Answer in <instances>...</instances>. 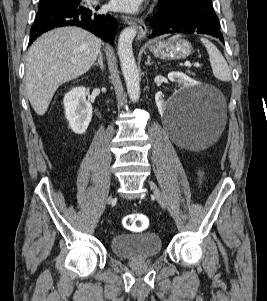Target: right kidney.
<instances>
[{"label":"right kidney","mask_w":267,"mask_h":301,"mask_svg":"<svg viewBox=\"0 0 267 301\" xmlns=\"http://www.w3.org/2000/svg\"><path fill=\"white\" fill-rule=\"evenodd\" d=\"M63 103L65 116L72 131L76 134L85 133L92 118V105L86 99V89L72 88L65 94Z\"/></svg>","instance_id":"ca27d5eb"}]
</instances>
